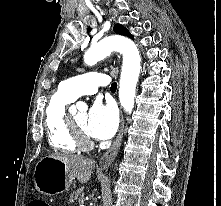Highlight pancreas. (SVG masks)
Returning <instances> with one entry per match:
<instances>
[{"label": "pancreas", "instance_id": "obj_1", "mask_svg": "<svg viewBox=\"0 0 221 206\" xmlns=\"http://www.w3.org/2000/svg\"><path fill=\"white\" fill-rule=\"evenodd\" d=\"M81 199H83V191L81 189H77L70 195L69 202L74 203L75 201H79L80 203Z\"/></svg>", "mask_w": 221, "mask_h": 206}]
</instances>
